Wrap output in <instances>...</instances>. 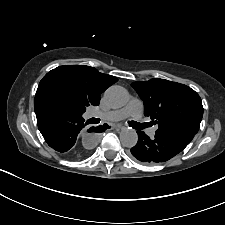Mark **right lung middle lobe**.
I'll use <instances>...</instances> for the list:
<instances>
[{
	"label": "right lung middle lobe",
	"mask_w": 225,
	"mask_h": 225,
	"mask_svg": "<svg viewBox=\"0 0 225 225\" xmlns=\"http://www.w3.org/2000/svg\"><path fill=\"white\" fill-rule=\"evenodd\" d=\"M43 97L74 113L83 114L86 110L85 106L74 95L57 85L46 88Z\"/></svg>",
	"instance_id": "right-lung-middle-lobe-1"
}]
</instances>
